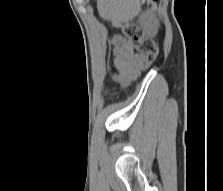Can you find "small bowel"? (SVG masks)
<instances>
[{"label":"small bowel","instance_id":"c3829d8e","mask_svg":"<svg viewBox=\"0 0 223 191\" xmlns=\"http://www.w3.org/2000/svg\"><path fill=\"white\" fill-rule=\"evenodd\" d=\"M114 65L117 69L115 80L122 86L139 75L140 66L143 58L131 45V43L122 36L112 38Z\"/></svg>","mask_w":223,"mask_h":191}]
</instances>
